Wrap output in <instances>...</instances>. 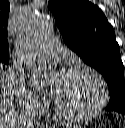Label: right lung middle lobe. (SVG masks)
Here are the masks:
<instances>
[{"label":"right lung middle lobe","instance_id":"1","mask_svg":"<svg viewBox=\"0 0 125 128\" xmlns=\"http://www.w3.org/2000/svg\"><path fill=\"white\" fill-rule=\"evenodd\" d=\"M8 63H9V58H0V66L7 65ZM3 69H5L4 66Z\"/></svg>","mask_w":125,"mask_h":128}]
</instances>
